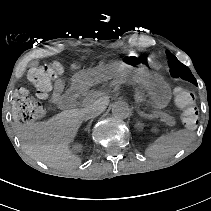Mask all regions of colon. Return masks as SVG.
<instances>
[{
    "mask_svg": "<svg viewBox=\"0 0 211 211\" xmlns=\"http://www.w3.org/2000/svg\"><path fill=\"white\" fill-rule=\"evenodd\" d=\"M78 68V65H74ZM63 73L59 62H50L29 71L28 81L39 99L50 96L54 82ZM177 106L181 109V119L186 127L194 128L198 124V109L194 94L185 88H177L174 92ZM46 113V107L25 89H18L13 101V119L20 124H29Z\"/></svg>",
    "mask_w": 211,
    "mask_h": 211,
    "instance_id": "colon-1",
    "label": "colon"
}]
</instances>
